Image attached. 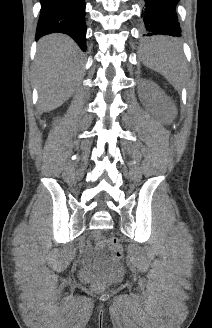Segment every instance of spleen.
<instances>
[{"label":"spleen","instance_id":"3e777b00","mask_svg":"<svg viewBox=\"0 0 212 328\" xmlns=\"http://www.w3.org/2000/svg\"><path fill=\"white\" fill-rule=\"evenodd\" d=\"M143 57L147 67L161 73L175 87L184 80V58L176 40L151 38L143 48Z\"/></svg>","mask_w":212,"mask_h":328}]
</instances>
